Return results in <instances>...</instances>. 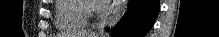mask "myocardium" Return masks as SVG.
<instances>
[{"instance_id":"myocardium-1","label":"myocardium","mask_w":219,"mask_h":37,"mask_svg":"<svg viewBox=\"0 0 219 37\" xmlns=\"http://www.w3.org/2000/svg\"><path fill=\"white\" fill-rule=\"evenodd\" d=\"M88 8H89V11L92 13L99 12V9L95 7L93 2H88Z\"/></svg>"}]
</instances>
